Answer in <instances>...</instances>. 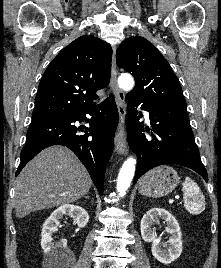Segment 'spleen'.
Listing matches in <instances>:
<instances>
[{"mask_svg":"<svg viewBox=\"0 0 221 268\" xmlns=\"http://www.w3.org/2000/svg\"><path fill=\"white\" fill-rule=\"evenodd\" d=\"M184 207L194 215L200 214L205 209V198L197 185L191 178L187 177L183 183Z\"/></svg>","mask_w":221,"mask_h":268,"instance_id":"obj_1","label":"spleen"}]
</instances>
